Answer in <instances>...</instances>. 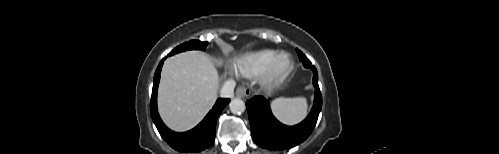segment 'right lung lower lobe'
Segmentation results:
<instances>
[{"mask_svg": "<svg viewBox=\"0 0 499 154\" xmlns=\"http://www.w3.org/2000/svg\"><path fill=\"white\" fill-rule=\"evenodd\" d=\"M165 58L158 65L153 81L150 111L162 138L175 150L180 152H200L208 148L215 139L216 121L229 99L219 98L203 121L194 129L185 133H176L169 130L162 122L157 110V90L160 81V72Z\"/></svg>", "mask_w": 499, "mask_h": 154, "instance_id": "right-lung-lower-lobe-1", "label": "right lung lower lobe"}]
</instances>
